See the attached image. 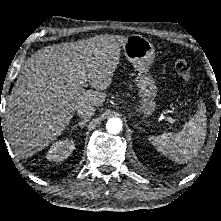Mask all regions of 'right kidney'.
Listing matches in <instances>:
<instances>
[{
  "label": "right kidney",
  "instance_id": "right-kidney-1",
  "mask_svg": "<svg viewBox=\"0 0 221 221\" xmlns=\"http://www.w3.org/2000/svg\"><path fill=\"white\" fill-rule=\"evenodd\" d=\"M75 149L74 142L71 140L57 141L52 144L48 152L46 153V158L50 161H62L67 159Z\"/></svg>",
  "mask_w": 221,
  "mask_h": 221
}]
</instances>
